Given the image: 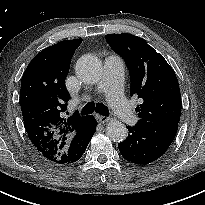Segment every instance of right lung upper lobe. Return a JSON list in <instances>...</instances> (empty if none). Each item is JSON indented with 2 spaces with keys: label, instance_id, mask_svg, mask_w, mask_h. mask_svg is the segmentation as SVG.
Returning <instances> with one entry per match:
<instances>
[{
  "label": "right lung upper lobe",
  "instance_id": "obj_1",
  "mask_svg": "<svg viewBox=\"0 0 205 205\" xmlns=\"http://www.w3.org/2000/svg\"><path fill=\"white\" fill-rule=\"evenodd\" d=\"M82 39L65 40L38 53L26 68L20 91L24 126L37 150L49 161L64 162L71 138L89 116L65 117L70 99L65 87L71 59Z\"/></svg>",
  "mask_w": 205,
  "mask_h": 205
}]
</instances>
